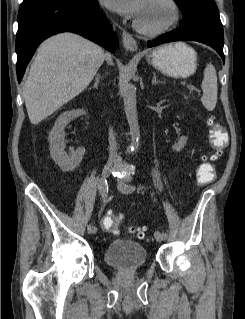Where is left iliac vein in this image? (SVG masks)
I'll return each instance as SVG.
<instances>
[{
	"mask_svg": "<svg viewBox=\"0 0 245 319\" xmlns=\"http://www.w3.org/2000/svg\"><path fill=\"white\" fill-rule=\"evenodd\" d=\"M131 180L130 176H125L123 178H120L118 180V188L119 190H121L122 192H130L124 189V185L129 182ZM155 238L156 240L161 243L165 238L162 236V234L159 231L155 232Z\"/></svg>",
	"mask_w": 245,
	"mask_h": 319,
	"instance_id": "4c4485c4",
	"label": "left iliac vein"
}]
</instances>
